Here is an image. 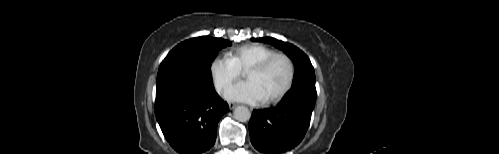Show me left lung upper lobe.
Wrapping results in <instances>:
<instances>
[{
	"label": "left lung upper lobe",
	"mask_w": 499,
	"mask_h": 154,
	"mask_svg": "<svg viewBox=\"0 0 499 154\" xmlns=\"http://www.w3.org/2000/svg\"><path fill=\"white\" fill-rule=\"evenodd\" d=\"M253 41L265 42L274 45L286 53L294 63L295 74L293 85L315 84V72L308 56L299 48L288 42H283L271 37L253 39Z\"/></svg>",
	"instance_id": "1"
}]
</instances>
